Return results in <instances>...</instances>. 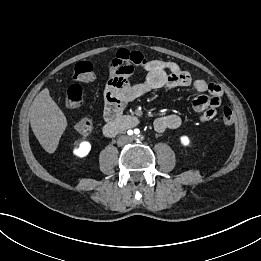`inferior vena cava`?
<instances>
[{"instance_id":"602c4592","label":"inferior vena cava","mask_w":261,"mask_h":261,"mask_svg":"<svg viewBox=\"0 0 261 261\" xmlns=\"http://www.w3.org/2000/svg\"><path fill=\"white\" fill-rule=\"evenodd\" d=\"M132 139L128 136H120L117 143L118 145L122 146L124 144L130 143Z\"/></svg>"}]
</instances>
